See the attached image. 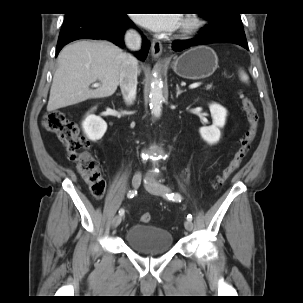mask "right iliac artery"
<instances>
[{
    "label": "right iliac artery",
    "instance_id": "obj_1",
    "mask_svg": "<svg viewBox=\"0 0 303 303\" xmlns=\"http://www.w3.org/2000/svg\"><path fill=\"white\" fill-rule=\"evenodd\" d=\"M136 194V191L132 190V191H129V193L127 194V197L128 198H133ZM119 215L120 216H123L124 215V209H120L119 210Z\"/></svg>",
    "mask_w": 303,
    "mask_h": 303
}]
</instances>
